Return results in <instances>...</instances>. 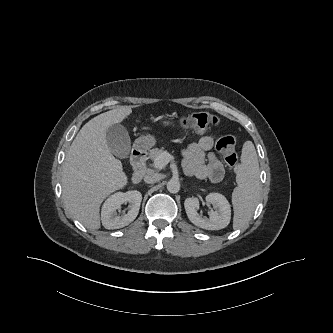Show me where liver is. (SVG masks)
I'll return each mask as SVG.
<instances>
[{
	"label": "liver",
	"mask_w": 333,
	"mask_h": 333,
	"mask_svg": "<svg viewBox=\"0 0 333 333\" xmlns=\"http://www.w3.org/2000/svg\"><path fill=\"white\" fill-rule=\"evenodd\" d=\"M132 113L122 106L88 121L73 140L62 170L63 200L68 212L88 229H99L100 205L127 184L121 161L110 151L106 131Z\"/></svg>",
	"instance_id": "obj_1"
}]
</instances>
